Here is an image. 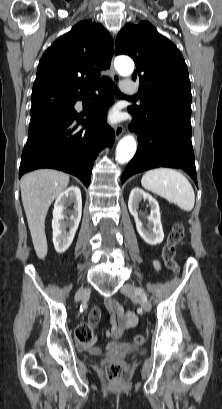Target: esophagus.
Wrapping results in <instances>:
<instances>
[{
	"label": "esophagus",
	"instance_id": "esophagus-1",
	"mask_svg": "<svg viewBox=\"0 0 222 409\" xmlns=\"http://www.w3.org/2000/svg\"><path fill=\"white\" fill-rule=\"evenodd\" d=\"M110 71H111V74H112L113 81L115 83H119L120 78H119V75L116 73V71H115V69L113 67V62H111ZM114 130H115V139L118 140L121 137V135L123 134V132H124V127H123L122 124H117L115 126Z\"/></svg>",
	"mask_w": 222,
	"mask_h": 409
}]
</instances>
